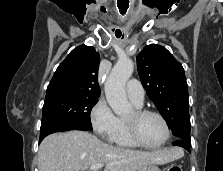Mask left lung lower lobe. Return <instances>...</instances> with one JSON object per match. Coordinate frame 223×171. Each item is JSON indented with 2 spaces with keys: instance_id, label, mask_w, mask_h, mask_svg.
Returning a JSON list of instances; mask_svg holds the SVG:
<instances>
[{
  "instance_id": "left-lung-lower-lobe-1",
  "label": "left lung lower lobe",
  "mask_w": 223,
  "mask_h": 171,
  "mask_svg": "<svg viewBox=\"0 0 223 171\" xmlns=\"http://www.w3.org/2000/svg\"><path fill=\"white\" fill-rule=\"evenodd\" d=\"M173 145L181 146L185 148L187 151H190L191 141H185L183 139H176L175 142H173Z\"/></svg>"
}]
</instances>
